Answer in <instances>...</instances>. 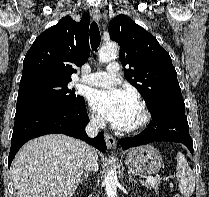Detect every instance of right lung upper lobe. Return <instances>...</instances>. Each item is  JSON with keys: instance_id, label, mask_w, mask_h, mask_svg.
<instances>
[{"instance_id": "cb5924a9", "label": "right lung upper lobe", "mask_w": 209, "mask_h": 197, "mask_svg": "<svg viewBox=\"0 0 209 197\" xmlns=\"http://www.w3.org/2000/svg\"><path fill=\"white\" fill-rule=\"evenodd\" d=\"M84 14L79 23L70 16L41 33L23 61L20 85L40 80H71L75 66H81L90 54L88 27Z\"/></svg>"}]
</instances>
